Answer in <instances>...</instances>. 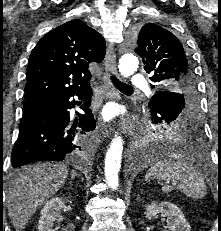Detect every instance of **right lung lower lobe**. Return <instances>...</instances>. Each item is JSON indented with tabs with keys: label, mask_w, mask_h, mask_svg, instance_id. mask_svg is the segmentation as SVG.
<instances>
[{
	"label": "right lung lower lobe",
	"mask_w": 221,
	"mask_h": 231,
	"mask_svg": "<svg viewBox=\"0 0 221 231\" xmlns=\"http://www.w3.org/2000/svg\"><path fill=\"white\" fill-rule=\"evenodd\" d=\"M90 88L73 92L47 95L24 103L19 137L12 151L14 168L36 161L69 159L84 146L86 132L95 129L90 107ZM78 96L85 101L71 126L69 109ZM79 121V123H77Z\"/></svg>",
	"instance_id": "obj_1"
}]
</instances>
